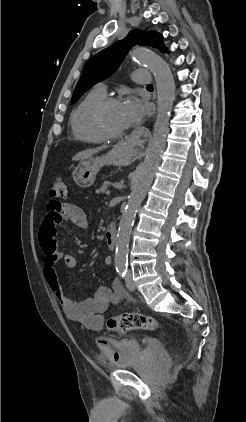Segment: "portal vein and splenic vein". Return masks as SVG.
<instances>
[{"label":"portal vein and splenic vein","mask_w":246,"mask_h":422,"mask_svg":"<svg viewBox=\"0 0 246 422\" xmlns=\"http://www.w3.org/2000/svg\"><path fill=\"white\" fill-rule=\"evenodd\" d=\"M106 194H107V195H109V194H110V190H107V191H106Z\"/></svg>","instance_id":"1"}]
</instances>
